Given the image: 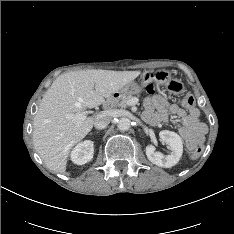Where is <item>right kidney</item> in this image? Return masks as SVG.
Masks as SVG:
<instances>
[{
    "instance_id": "obj_1",
    "label": "right kidney",
    "mask_w": 234,
    "mask_h": 234,
    "mask_svg": "<svg viewBox=\"0 0 234 234\" xmlns=\"http://www.w3.org/2000/svg\"><path fill=\"white\" fill-rule=\"evenodd\" d=\"M94 154V144L90 140L78 143L71 151V160L77 165H83L92 160Z\"/></svg>"
}]
</instances>
